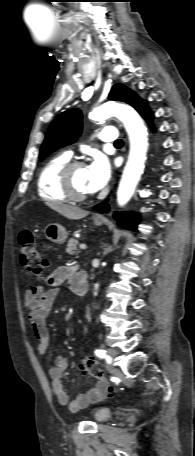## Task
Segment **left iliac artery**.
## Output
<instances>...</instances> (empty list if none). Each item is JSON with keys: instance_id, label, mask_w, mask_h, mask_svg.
Returning a JSON list of instances; mask_svg holds the SVG:
<instances>
[{"instance_id": "44dca946", "label": "left iliac artery", "mask_w": 195, "mask_h": 456, "mask_svg": "<svg viewBox=\"0 0 195 456\" xmlns=\"http://www.w3.org/2000/svg\"><path fill=\"white\" fill-rule=\"evenodd\" d=\"M95 355L99 358H107L109 361V356L107 355L105 350L97 349L95 350Z\"/></svg>"}]
</instances>
